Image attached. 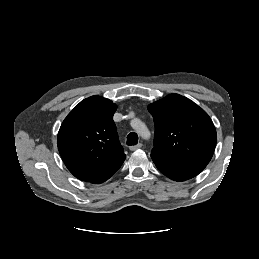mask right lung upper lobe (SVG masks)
Here are the masks:
<instances>
[{
  "mask_svg": "<svg viewBox=\"0 0 259 259\" xmlns=\"http://www.w3.org/2000/svg\"><path fill=\"white\" fill-rule=\"evenodd\" d=\"M117 106L91 96L81 101L63 121L57 138L59 153L78 179L101 183L122 165L126 155L113 121Z\"/></svg>",
  "mask_w": 259,
  "mask_h": 259,
  "instance_id": "right-lung-upper-lobe-1",
  "label": "right lung upper lobe"
}]
</instances>
